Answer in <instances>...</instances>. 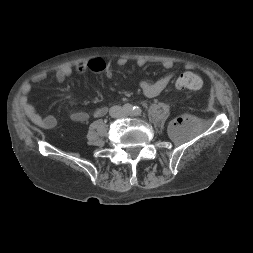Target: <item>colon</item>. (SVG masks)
I'll list each match as a JSON object with an SVG mask.
<instances>
[{
  "label": "colon",
  "instance_id": "colon-1",
  "mask_svg": "<svg viewBox=\"0 0 253 253\" xmlns=\"http://www.w3.org/2000/svg\"><path fill=\"white\" fill-rule=\"evenodd\" d=\"M88 66L92 72L105 73L107 63L102 58H95L89 61ZM175 85L179 89L198 91L203 87V79L196 73L185 72L176 79Z\"/></svg>",
  "mask_w": 253,
  "mask_h": 253
}]
</instances>
